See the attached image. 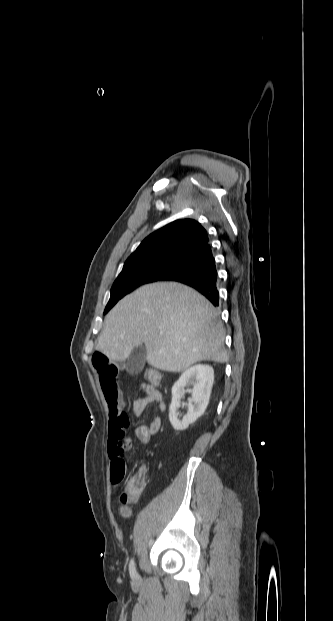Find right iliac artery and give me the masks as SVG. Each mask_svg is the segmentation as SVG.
Here are the masks:
<instances>
[{
    "instance_id": "1",
    "label": "right iliac artery",
    "mask_w": 333,
    "mask_h": 621,
    "mask_svg": "<svg viewBox=\"0 0 333 621\" xmlns=\"http://www.w3.org/2000/svg\"><path fill=\"white\" fill-rule=\"evenodd\" d=\"M129 573H130V576H131V578H132L133 580L137 578V572H136V567H135L134 560H131V561H130V564H129Z\"/></svg>"
}]
</instances>
